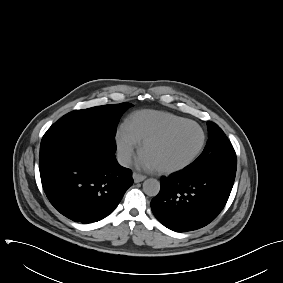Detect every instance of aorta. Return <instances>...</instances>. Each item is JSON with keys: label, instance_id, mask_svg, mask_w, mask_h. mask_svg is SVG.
<instances>
[{"label": "aorta", "instance_id": "aorta-1", "mask_svg": "<svg viewBox=\"0 0 283 283\" xmlns=\"http://www.w3.org/2000/svg\"><path fill=\"white\" fill-rule=\"evenodd\" d=\"M143 191L148 196H156L160 191V182L154 178L145 180L143 183Z\"/></svg>", "mask_w": 283, "mask_h": 283}]
</instances>
